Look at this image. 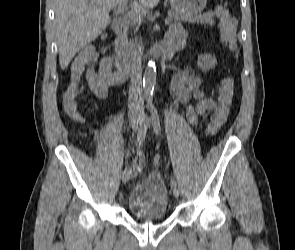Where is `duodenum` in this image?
<instances>
[{
	"label": "duodenum",
	"mask_w": 295,
	"mask_h": 250,
	"mask_svg": "<svg viewBox=\"0 0 295 250\" xmlns=\"http://www.w3.org/2000/svg\"><path fill=\"white\" fill-rule=\"evenodd\" d=\"M128 28L129 19L125 16L117 17L113 21V30L116 34V38L114 41V49L120 59L117 71H114L113 67V72L115 74L116 79L118 80L124 79L132 73H135L137 70L141 68V66L147 59H152L153 56L158 55V51L153 50L150 52V54L144 62L138 63L128 51L126 41V33Z\"/></svg>",
	"instance_id": "1"
}]
</instances>
